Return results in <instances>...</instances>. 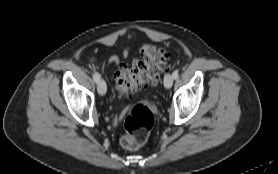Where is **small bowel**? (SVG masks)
<instances>
[{
    "instance_id": "small-bowel-1",
    "label": "small bowel",
    "mask_w": 278,
    "mask_h": 174,
    "mask_svg": "<svg viewBox=\"0 0 278 174\" xmlns=\"http://www.w3.org/2000/svg\"><path fill=\"white\" fill-rule=\"evenodd\" d=\"M128 55V49H124L123 53H122V57H126ZM120 61V57L119 56H111L108 60L109 64H118Z\"/></svg>"
}]
</instances>
